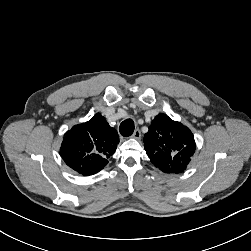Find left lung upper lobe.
I'll list each match as a JSON object with an SVG mask.
<instances>
[{"label":"left lung upper lobe","instance_id":"obj_1","mask_svg":"<svg viewBox=\"0 0 251 251\" xmlns=\"http://www.w3.org/2000/svg\"><path fill=\"white\" fill-rule=\"evenodd\" d=\"M144 147L151 162L160 170L180 173L195 152V141L186 126L160 113L144 136Z\"/></svg>","mask_w":251,"mask_h":251}]
</instances>
